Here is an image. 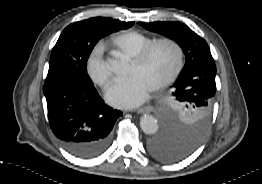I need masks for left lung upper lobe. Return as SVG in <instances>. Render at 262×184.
Instances as JSON below:
<instances>
[{
	"instance_id": "obj_1",
	"label": "left lung upper lobe",
	"mask_w": 262,
	"mask_h": 184,
	"mask_svg": "<svg viewBox=\"0 0 262 184\" xmlns=\"http://www.w3.org/2000/svg\"><path fill=\"white\" fill-rule=\"evenodd\" d=\"M147 30L175 40L186 62L159 113L163 131L171 138L198 147L212 122L216 66L206 41L179 22L140 23Z\"/></svg>"
}]
</instances>
